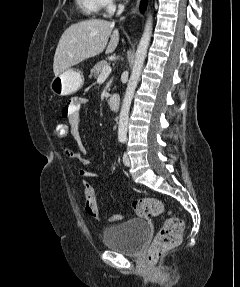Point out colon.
<instances>
[{"label":"colon","mask_w":240,"mask_h":287,"mask_svg":"<svg viewBox=\"0 0 240 287\" xmlns=\"http://www.w3.org/2000/svg\"><path fill=\"white\" fill-rule=\"evenodd\" d=\"M55 136L68 152L75 150L71 126L65 120L58 122L54 128ZM85 211L94 219L101 220L94 188L84 181ZM133 209L141 217H157L165 213L163 203L155 198H141L133 202ZM121 215H112L108 221H119ZM183 221L175 214H168L162 228L157 232L147 253V261L156 265L163 255L178 246L182 241Z\"/></svg>","instance_id":"obj_1"}]
</instances>
